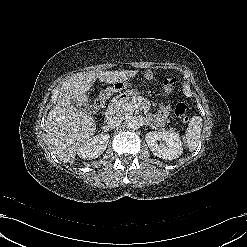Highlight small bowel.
Instances as JSON below:
<instances>
[{"mask_svg": "<svg viewBox=\"0 0 247 247\" xmlns=\"http://www.w3.org/2000/svg\"><path fill=\"white\" fill-rule=\"evenodd\" d=\"M144 77L147 80H151L154 77V72L152 70H147L144 73ZM170 107L169 106H160L159 110L154 116V120L157 124H162L167 116L169 115Z\"/></svg>", "mask_w": 247, "mask_h": 247, "instance_id": "c3829d8e", "label": "small bowel"}]
</instances>
